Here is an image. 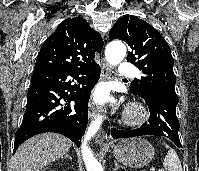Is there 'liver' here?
Here are the masks:
<instances>
[{"label":"liver","instance_id":"1","mask_svg":"<svg viewBox=\"0 0 199 171\" xmlns=\"http://www.w3.org/2000/svg\"><path fill=\"white\" fill-rule=\"evenodd\" d=\"M72 146V142L57 133L36 135L17 149L13 161V171H40L51 162L59 159Z\"/></svg>","mask_w":199,"mask_h":171}]
</instances>
